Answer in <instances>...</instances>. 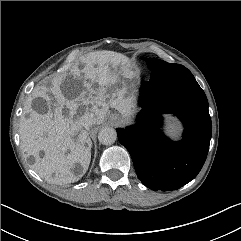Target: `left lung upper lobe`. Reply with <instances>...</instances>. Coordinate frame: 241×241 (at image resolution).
I'll return each instance as SVG.
<instances>
[{"label":"left lung upper lobe","instance_id":"1","mask_svg":"<svg viewBox=\"0 0 241 241\" xmlns=\"http://www.w3.org/2000/svg\"><path fill=\"white\" fill-rule=\"evenodd\" d=\"M146 63L151 71H158L165 76L171 93H178L184 88L198 84L192 73L183 65L170 64L159 59H146Z\"/></svg>","mask_w":241,"mask_h":241}]
</instances>
